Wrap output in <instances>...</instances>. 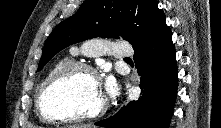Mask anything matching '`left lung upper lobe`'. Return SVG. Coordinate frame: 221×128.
Wrapping results in <instances>:
<instances>
[{
	"label": "left lung upper lobe",
	"mask_w": 221,
	"mask_h": 128,
	"mask_svg": "<svg viewBox=\"0 0 221 128\" xmlns=\"http://www.w3.org/2000/svg\"><path fill=\"white\" fill-rule=\"evenodd\" d=\"M157 5V0H85L47 38L38 71L59 51L86 39L122 37L133 47L142 44L165 17Z\"/></svg>",
	"instance_id": "1"
}]
</instances>
